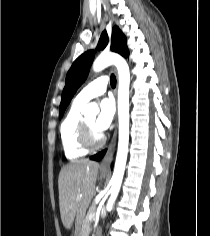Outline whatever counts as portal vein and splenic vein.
I'll list each match as a JSON object with an SVG mask.
<instances>
[{"label":"portal vein and splenic vein","mask_w":210,"mask_h":236,"mask_svg":"<svg viewBox=\"0 0 210 236\" xmlns=\"http://www.w3.org/2000/svg\"><path fill=\"white\" fill-rule=\"evenodd\" d=\"M81 196H78L77 199H80ZM95 218V213H92L89 215V219H94Z\"/></svg>","instance_id":"portal-vein-and-splenic-vein-1"}]
</instances>
